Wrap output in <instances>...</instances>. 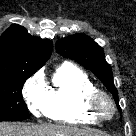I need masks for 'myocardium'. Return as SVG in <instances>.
I'll list each match as a JSON object with an SVG mask.
<instances>
[{"label": "myocardium", "instance_id": "obj_1", "mask_svg": "<svg viewBox=\"0 0 136 136\" xmlns=\"http://www.w3.org/2000/svg\"><path fill=\"white\" fill-rule=\"evenodd\" d=\"M103 102H106L110 106V113L105 114L102 111L101 105ZM88 110L98 119V120H109L116 113V104L113 98L106 92L97 90L91 94L87 100Z\"/></svg>", "mask_w": 136, "mask_h": 136}]
</instances>
